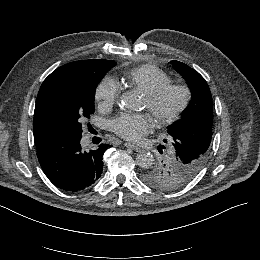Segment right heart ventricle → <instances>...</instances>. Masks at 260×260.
Listing matches in <instances>:
<instances>
[{
    "mask_svg": "<svg viewBox=\"0 0 260 260\" xmlns=\"http://www.w3.org/2000/svg\"><path fill=\"white\" fill-rule=\"evenodd\" d=\"M124 80L127 85L140 90L143 95L171 82L168 74L148 65L132 69L126 74Z\"/></svg>",
    "mask_w": 260,
    "mask_h": 260,
    "instance_id": "1",
    "label": "right heart ventricle"
}]
</instances>
